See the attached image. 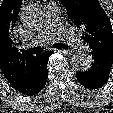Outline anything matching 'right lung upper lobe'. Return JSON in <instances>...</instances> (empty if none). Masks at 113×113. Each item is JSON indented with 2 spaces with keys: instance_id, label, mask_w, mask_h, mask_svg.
<instances>
[{
  "instance_id": "1",
  "label": "right lung upper lobe",
  "mask_w": 113,
  "mask_h": 113,
  "mask_svg": "<svg viewBox=\"0 0 113 113\" xmlns=\"http://www.w3.org/2000/svg\"><path fill=\"white\" fill-rule=\"evenodd\" d=\"M22 0H3L0 6V69L12 87L30 73L37 56L20 50L12 31Z\"/></svg>"
}]
</instances>
